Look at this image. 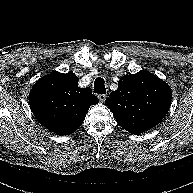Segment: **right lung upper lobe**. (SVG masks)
Here are the masks:
<instances>
[{"label": "right lung upper lobe", "mask_w": 193, "mask_h": 193, "mask_svg": "<svg viewBox=\"0 0 193 193\" xmlns=\"http://www.w3.org/2000/svg\"><path fill=\"white\" fill-rule=\"evenodd\" d=\"M98 103L91 88H79L74 73L52 72L39 79L29 95L37 121L48 130L69 135L82 125L91 105Z\"/></svg>", "instance_id": "cb5924a9"}]
</instances>
